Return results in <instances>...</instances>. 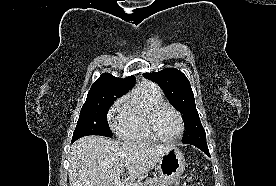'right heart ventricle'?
Listing matches in <instances>:
<instances>
[{"label":"right heart ventricle","instance_id":"e07e8e85","mask_svg":"<svg viewBox=\"0 0 276 186\" xmlns=\"http://www.w3.org/2000/svg\"><path fill=\"white\" fill-rule=\"evenodd\" d=\"M162 102L165 101L159 88L152 83H144L123 106L117 127L119 136L137 142L157 141L149 131L148 116L151 109Z\"/></svg>","mask_w":276,"mask_h":186}]
</instances>
